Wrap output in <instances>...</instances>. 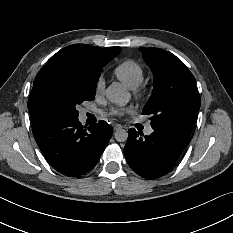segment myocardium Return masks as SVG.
Masks as SVG:
<instances>
[{
	"instance_id": "f54148a6",
	"label": "myocardium",
	"mask_w": 233,
	"mask_h": 233,
	"mask_svg": "<svg viewBox=\"0 0 233 233\" xmlns=\"http://www.w3.org/2000/svg\"><path fill=\"white\" fill-rule=\"evenodd\" d=\"M135 93L138 95V96H140L141 95V91L140 90H135Z\"/></svg>"
}]
</instances>
